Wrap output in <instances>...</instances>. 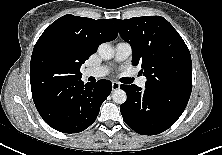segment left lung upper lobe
I'll use <instances>...</instances> for the list:
<instances>
[{
  "label": "left lung upper lobe",
  "instance_id": "left-lung-upper-lobe-1",
  "mask_svg": "<svg viewBox=\"0 0 222 155\" xmlns=\"http://www.w3.org/2000/svg\"><path fill=\"white\" fill-rule=\"evenodd\" d=\"M132 47V64H140L146 88L189 100L192 91L190 52L174 27L161 16L113 19Z\"/></svg>",
  "mask_w": 222,
  "mask_h": 155
}]
</instances>
